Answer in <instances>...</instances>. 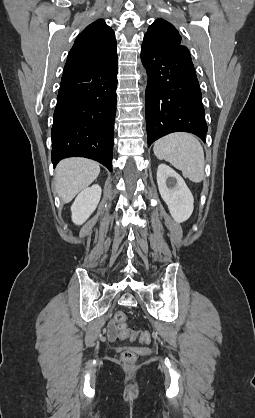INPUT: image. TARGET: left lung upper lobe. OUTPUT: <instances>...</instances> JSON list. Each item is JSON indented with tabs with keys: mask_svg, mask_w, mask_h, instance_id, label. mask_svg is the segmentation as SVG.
Returning a JSON list of instances; mask_svg holds the SVG:
<instances>
[{
	"mask_svg": "<svg viewBox=\"0 0 255 418\" xmlns=\"http://www.w3.org/2000/svg\"><path fill=\"white\" fill-rule=\"evenodd\" d=\"M143 43L157 50H171L184 46L177 29L163 19L155 20L149 26L147 33L144 35Z\"/></svg>",
	"mask_w": 255,
	"mask_h": 418,
	"instance_id": "5c2ea615",
	"label": "left lung upper lobe"
}]
</instances>
